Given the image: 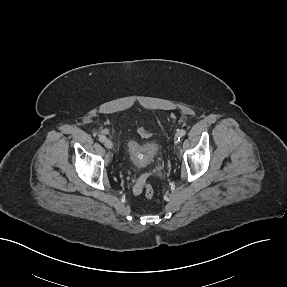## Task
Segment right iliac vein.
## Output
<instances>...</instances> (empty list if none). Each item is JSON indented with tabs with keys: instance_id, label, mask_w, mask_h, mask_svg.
Here are the masks:
<instances>
[{
	"instance_id": "1",
	"label": "right iliac vein",
	"mask_w": 287,
	"mask_h": 287,
	"mask_svg": "<svg viewBox=\"0 0 287 287\" xmlns=\"http://www.w3.org/2000/svg\"><path fill=\"white\" fill-rule=\"evenodd\" d=\"M104 146H105L107 149H112V148H113V143H112L111 140L106 139V140L104 141Z\"/></svg>"
}]
</instances>
